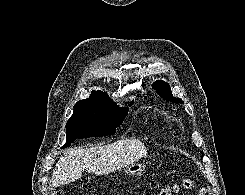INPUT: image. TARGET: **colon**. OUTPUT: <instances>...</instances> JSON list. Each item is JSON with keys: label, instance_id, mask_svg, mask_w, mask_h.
<instances>
[{"label": "colon", "instance_id": "colon-1", "mask_svg": "<svg viewBox=\"0 0 245 195\" xmlns=\"http://www.w3.org/2000/svg\"><path fill=\"white\" fill-rule=\"evenodd\" d=\"M182 186L185 189H190L192 187V184L191 182L186 180L183 182ZM180 189L181 187L179 185L173 184L172 186L164 188L160 195H175Z\"/></svg>", "mask_w": 245, "mask_h": 195}]
</instances>
